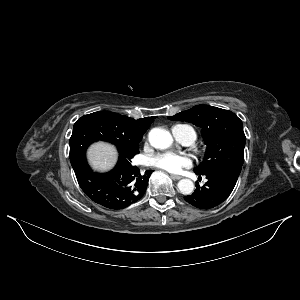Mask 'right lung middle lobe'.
Instances as JSON below:
<instances>
[{
  "label": "right lung middle lobe",
  "mask_w": 300,
  "mask_h": 300,
  "mask_svg": "<svg viewBox=\"0 0 300 300\" xmlns=\"http://www.w3.org/2000/svg\"><path fill=\"white\" fill-rule=\"evenodd\" d=\"M108 141L117 146L119 158L130 162L138 151L139 141L130 143L118 137L110 124L97 113H91L78 119L74 124L70 138V161L73 166L85 158L87 147L94 141Z\"/></svg>",
  "instance_id": "right-lung-middle-lobe-1"
}]
</instances>
